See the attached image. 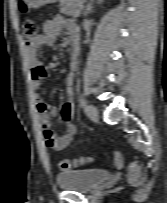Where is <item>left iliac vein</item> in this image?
I'll list each match as a JSON object with an SVG mask.
<instances>
[{
  "label": "left iliac vein",
  "mask_w": 167,
  "mask_h": 203,
  "mask_svg": "<svg viewBox=\"0 0 167 203\" xmlns=\"http://www.w3.org/2000/svg\"><path fill=\"white\" fill-rule=\"evenodd\" d=\"M87 117L91 120V121H97L98 120V111L96 109V107L94 105H89L87 107Z\"/></svg>",
  "instance_id": "obj_1"
}]
</instances>
